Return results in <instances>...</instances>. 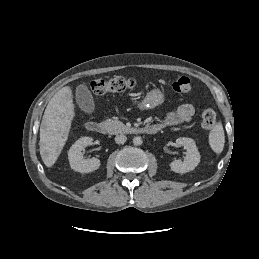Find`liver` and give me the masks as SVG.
<instances>
[{"label":"liver","mask_w":259,"mask_h":259,"mask_svg":"<svg viewBox=\"0 0 259 259\" xmlns=\"http://www.w3.org/2000/svg\"><path fill=\"white\" fill-rule=\"evenodd\" d=\"M73 94L70 86L55 93L49 101L40 126V155L46 167L57 161L68 139L75 117Z\"/></svg>","instance_id":"liver-1"}]
</instances>
